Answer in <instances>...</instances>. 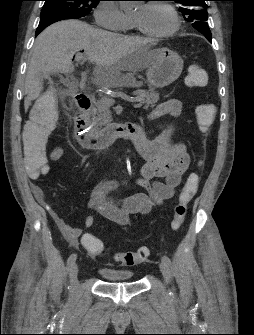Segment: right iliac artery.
Segmentation results:
<instances>
[{
	"label": "right iliac artery",
	"mask_w": 254,
	"mask_h": 335,
	"mask_svg": "<svg viewBox=\"0 0 254 335\" xmlns=\"http://www.w3.org/2000/svg\"><path fill=\"white\" fill-rule=\"evenodd\" d=\"M77 258V254L73 253L69 256L68 261H67V265L69 268H72V266L75 264Z\"/></svg>",
	"instance_id": "82829eb1"
}]
</instances>
